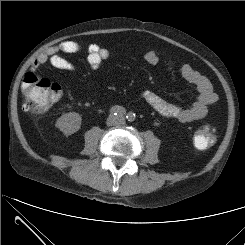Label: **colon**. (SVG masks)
Masks as SVG:
<instances>
[{"mask_svg": "<svg viewBox=\"0 0 245 245\" xmlns=\"http://www.w3.org/2000/svg\"><path fill=\"white\" fill-rule=\"evenodd\" d=\"M22 91L25 109L35 113L45 112L61 96L59 84L33 72L25 74ZM215 140V129L210 125L202 126L194 136V144L200 150L211 147Z\"/></svg>", "mask_w": 245, "mask_h": 245, "instance_id": "colon-1", "label": "colon"}]
</instances>
